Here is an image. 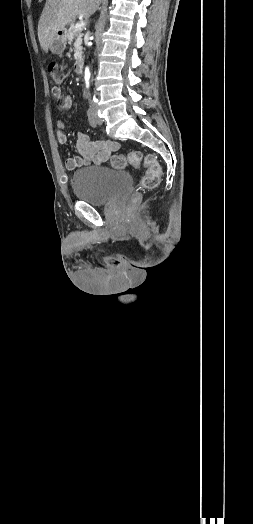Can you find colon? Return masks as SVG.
<instances>
[{"label": "colon", "mask_w": 253, "mask_h": 524, "mask_svg": "<svg viewBox=\"0 0 253 524\" xmlns=\"http://www.w3.org/2000/svg\"><path fill=\"white\" fill-rule=\"evenodd\" d=\"M48 72L57 84L61 83L69 74V68L66 65L52 62L48 65ZM144 165L146 171L141 179L140 186L143 189L155 188L162 177V168L154 156H146L143 158L139 151H130L126 154H119L112 158L111 165L116 169H122L126 166L139 168ZM140 196L135 194L132 198V203H137Z\"/></svg>", "instance_id": "1"}]
</instances>
